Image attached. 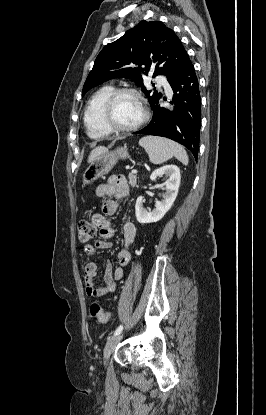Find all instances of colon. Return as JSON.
<instances>
[{
	"label": "colon",
	"instance_id": "1",
	"mask_svg": "<svg viewBox=\"0 0 266 415\" xmlns=\"http://www.w3.org/2000/svg\"><path fill=\"white\" fill-rule=\"evenodd\" d=\"M97 233L96 225L88 220H81L78 224V241L87 244ZM90 315L98 323H106L109 312L99 303L94 302L90 306Z\"/></svg>",
	"mask_w": 266,
	"mask_h": 415
}]
</instances>
